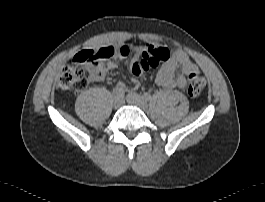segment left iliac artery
Segmentation results:
<instances>
[{
  "instance_id": "1",
  "label": "left iliac artery",
  "mask_w": 265,
  "mask_h": 202,
  "mask_svg": "<svg viewBox=\"0 0 265 202\" xmlns=\"http://www.w3.org/2000/svg\"><path fill=\"white\" fill-rule=\"evenodd\" d=\"M142 97L145 99V100H150L151 99V95L149 94V93H144L143 95H142Z\"/></svg>"
}]
</instances>
